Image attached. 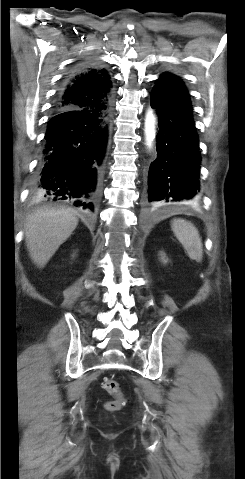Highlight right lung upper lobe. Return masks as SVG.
<instances>
[{
    "mask_svg": "<svg viewBox=\"0 0 245 479\" xmlns=\"http://www.w3.org/2000/svg\"><path fill=\"white\" fill-rule=\"evenodd\" d=\"M112 83L105 69L88 66L71 75L58 95L55 110L67 107L87 108L107 102Z\"/></svg>",
    "mask_w": 245,
    "mask_h": 479,
    "instance_id": "1",
    "label": "right lung upper lobe"
}]
</instances>
